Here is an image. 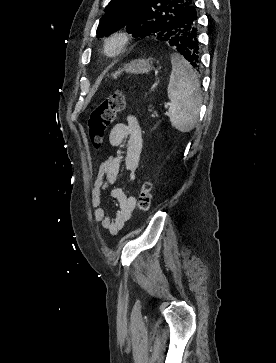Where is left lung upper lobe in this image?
<instances>
[{
	"label": "left lung upper lobe",
	"instance_id": "1",
	"mask_svg": "<svg viewBox=\"0 0 276 363\" xmlns=\"http://www.w3.org/2000/svg\"><path fill=\"white\" fill-rule=\"evenodd\" d=\"M191 5L193 0H111L100 20L97 36H107L126 25L128 33L162 40L172 31L178 14Z\"/></svg>",
	"mask_w": 276,
	"mask_h": 363
}]
</instances>
